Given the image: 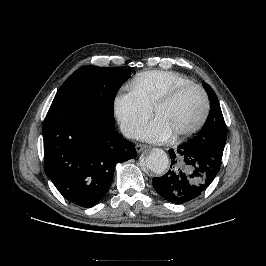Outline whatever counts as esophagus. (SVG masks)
Returning a JSON list of instances; mask_svg holds the SVG:
<instances>
[{
	"instance_id": "34e87169",
	"label": "esophagus",
	"mask_w": 266,
	"mask_h": 266,
	"mask_svg": "<svg viewBox=\"0 0 266 266\" xmlns=\"http://www.w3.org/2000/svg\"><path fill=\"white\" fill-rule=\"evenodd\" d=\"M149 146L148 145H145V144H137L136 145V151L138 153H140L141 151H143L144 149L148 148Z\"/></svg>"
}]
</instances>
